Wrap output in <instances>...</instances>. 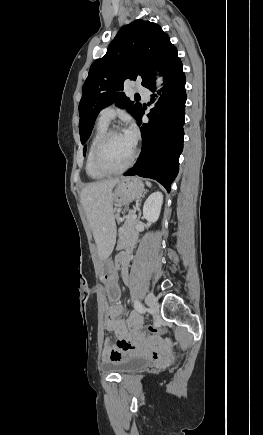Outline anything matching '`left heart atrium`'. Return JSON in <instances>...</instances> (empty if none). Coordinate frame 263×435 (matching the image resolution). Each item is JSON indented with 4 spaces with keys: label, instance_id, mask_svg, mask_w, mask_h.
<instances>
[{
    "label": "left heart atrium",
    "instance_id": "1",
    "mask_svg": "<svg viewBox=\"0 0 263 435\" xmlns=\"http://www.w3.org/2000/svg\"><path fill=\"white\" fill-rule=\"evenodd\" d=\"M125 137L127 138L128 142L135 147L136 142L138 140V131L135 125L131 124L128 126L124 133Z\"/></svg>",
    "mask_w": 263,
    "mask_h": 435
}]
</instances>
